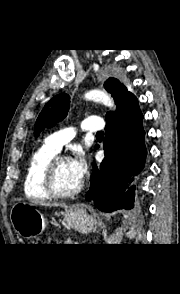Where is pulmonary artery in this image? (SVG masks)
I'll list each match as a JSON object with an SVG mask.
<instances>
[{"label": "pulmonary artery", "instance_id": "obj_1", "mask_svg": "<svg viewBox=\"0 0 180 294\" xmlns=\"http://www.w3.org/2000/svg\"><path fill=\"white\" fill-rule=\"evenodd\" d=\"M103 128H104V122L102 118L99 116L88 117L87 119H85V121L83 122L81 126V129L83 131H90V132L101 130ZM75 134L76 132L73 129L67 128L65 130H61L49 135L45 139L44 144L58 153L61 151V149L66 143H68L74 138Z\"/></svg>", "mask_w": 180, "mask_h": 294}]
</instances>
